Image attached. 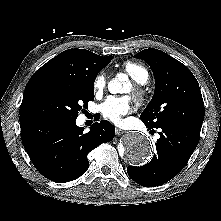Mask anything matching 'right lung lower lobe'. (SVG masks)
<instances>
[{"label":"right lung lower lobe","mask_w":221,"mask_h":221,"mask_svg":"<svg viewBox=\"0 0 221 221\" xmlns=\"http://www.w3.org/2000/svg\"><path fill=\"white\" fill-rule=\"evenodd\" d=\"M76 119L56 116H20L21 139L35 168L55 182H69L86 172L88 153L114 138L115 127L106 120L95 122L90 131Z\"/></svg>","instance_id":"98d812e1"}]
</instances>
